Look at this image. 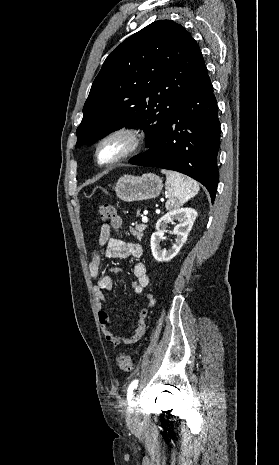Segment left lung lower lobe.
Listing matches in <instances>:
<instances>
[{"label": "left lung lower lobe", "mask_w": 279, "mask_h": 465, "mask_svg": "<svg viewBox=\"0 0 279 465\" xmlns=\"http://www.w3.org/2000/svg\"><path fill=\"white\" fill-rule=\"evenodd\" d=\"M217 101L204 60L175 117L162 136L129 162L186 174L203 184L215 199L220 145Z\"/></svg>", "instance_id": "1"}]
</instances>
